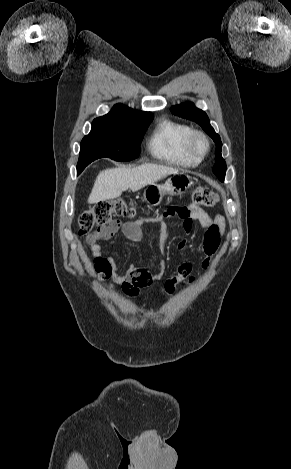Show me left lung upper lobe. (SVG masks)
I'll list each match as a JSON object with an SVG mask.
<instances>
[{
  "label": "left lung upper lobe",
  "instance_id": "1",
  "mask_svg": "<svg viewBox=\"0 0 291 469\" xmlns=\"http://www.w3.org/2000/svg\"><path fill=\"white\" fill-rule=\"evenodd\" d=\"M171 111L180 117L192 120L198 123L202 129L213 139L216 144V159L213 167L214 174L220 181H224L226 173V163L221 156L222 142L220 136L214 131L210 125L207 114L198 109L192 102H185L180 105L172 106Z\"/></svg>",
  "mask_w": 291,
  "mask_h": 469
}]
</instances>
